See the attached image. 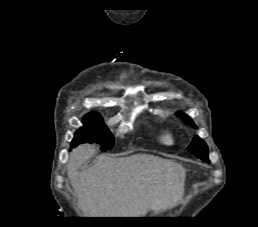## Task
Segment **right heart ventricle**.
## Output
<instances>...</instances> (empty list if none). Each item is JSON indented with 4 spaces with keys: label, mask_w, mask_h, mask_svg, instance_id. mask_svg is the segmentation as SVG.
<instances>
[{
    "label": "right heart ventricle",
    "mask_w": 258,
    "mask_h": 227,
    "mask_svg": "<svg viewBox=\"0 0 258 227\" xmlns=\"http://www.w3.org/2000/svg\"><path fill=\"white\" fill-rule=\"evenodd\" d=\"M158 139L161 143L165 145H173L174 144V135L169 129H163L159 136Z\"/></svg>",
    "instance_id": "e07e8e85"
}]
</instances>
